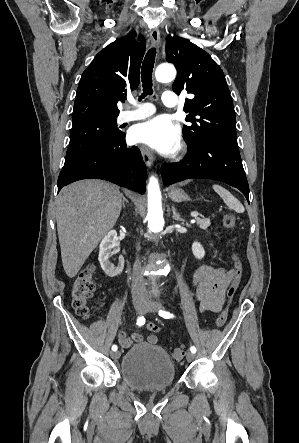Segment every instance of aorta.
Here are the masks:
<instances>
[{
    "label": "aorta",
    "instance_id": "obj_1",
    "mask_svg": "<svg viewBox=\"0 0 299 443\" xmlns=\"http://www.w3.org/2000/svg\"><path fill=\"white\" fill-rule=\"evenodd\" d=\"M156 80L170 82L176 77V69L170 64L159 65L155 71ZM148 197V231L152 235H159L164 227L161 191L158 179L151 176L147 186Z\"/></svg>",
    "mask_w": 299,
    "mask_h": 443
}]
</instances>
